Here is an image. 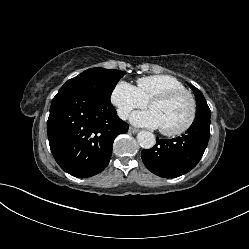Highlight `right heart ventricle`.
Segmentation results:
<instances>
[{
	"label": "right heart ventricle",
	"instance_id": "obj_1",
	"mask_svg": "<svg viewBox=\"0 0 249 249\" xmlns=\"http://www.w3.org/2000/svg\"><path fill=\"white\" fill-rule=\"evenodd\" d=\"M136 88L146 102L164 92L185 89L183 83L177 78L164 74L141 77L137 80Z\"/></svg>",
	"mask_w": 249,
	"mask_h": 249
}]
</instances>
